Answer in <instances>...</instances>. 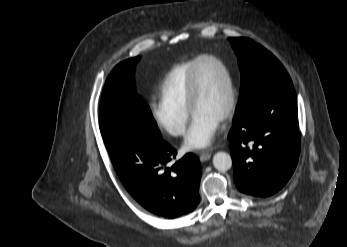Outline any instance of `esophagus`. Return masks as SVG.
<instances>
[{
    "label": "esophagus",
    "instance_id": "obj_1",
    "mask_svg": "<svg viewBox=\"0 0 347 247\" xmlns=\"http://www.w3.org/2000/svg\"><path fill=\"white\" fill-rule=\"evenodd\" d=\"M211 157V152L208 150L199 152V158L202 162L209 160Z\"/></svg>",
    "mask_w": 347,
    "mask_h": 247
}]
</instances>
